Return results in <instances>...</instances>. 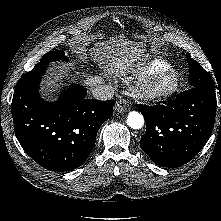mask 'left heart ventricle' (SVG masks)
<instances>
[{"instance_id": "b2bd125f", "label": "left heart ventricle", "mask_w": 221, "mask_h": 221, "mask_svg": "<svg viewBox=\"0 0 221 221\" xmlns=\"http://www.w3.org/2000/svg\"><path fill=\"white\" fill-rule=\"evenodd\" d=\"M169 82H170V79H169V78H165L164 81H163L164 84H167V83H169Z\"/></svg>"}]
</instances>
